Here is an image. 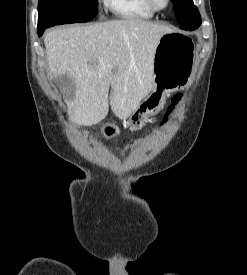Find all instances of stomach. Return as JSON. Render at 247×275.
Returning <instances> with one entry per match:
<instances>
[{
    "label": "stomach",
    "instance_id": "stomach-1",
    "mask_svg": "<svg viewBox=\"0 0 247 275\" xmlns=\"http://www.w3.org/2000/svg\"><path fill=\"white\" fill-rule=\"evenodd\" d=\"M195 68L193 41L180 33L164 34L155 49L153 59V89L130 115L132 128L140 129L148 118L157 114L164 106L169 93L186 88ZM101 133L112 138L118 130L107 124Z\"/></svg>",
    "mask_w": 247,
    "mask_h": 275
}]
</instances>
